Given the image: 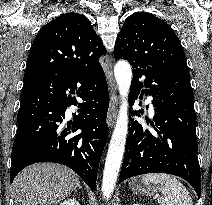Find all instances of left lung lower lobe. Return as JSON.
<instances>
[{
    "label": "left lung lower lobe",
    "instance_id": "obj_1",
    "mask_svg": "<svg viewBox=\"0 0 212 205\" xmlns=\"http://www.w3.org/2000/svg\"><path fill=\"white\" fill-rule=\"evenodd\" d=\"M140 92L154 98L151 125L156 132L145 130L131 120L119 183L136 175L169 173L189 182L200 197L196 118L189 73L165 65L134 68L132 105ZM133 114L140 115L139 111Z\"/></svg>",
    "mask_w": 212,
    "mask_h": 205
}]
</instances>
